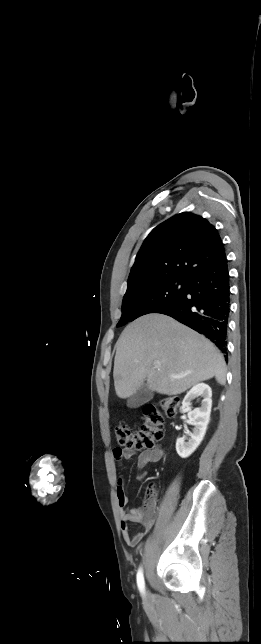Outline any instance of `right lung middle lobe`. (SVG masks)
Wrapping results in <instances>:
<instances>
[{
  "mask_svg": "<svg viewBox=\"0 0 261 644\" xmlns=\"http://www.w3.org/2000/svg\"><path fill=\"white\" fill-rule=\"evenodd\" d=\"M186 279L169 278L127 289L122 302V316L117 327L136 318L156 313L175 304L186 291Z\"/></svg>",
  "mask_w": 261,
  "mask_h": 644,
  "instance_id": "right-lung-middle-lobe-1",
  "label": "right lung middle lobe"
}]
</instances>
